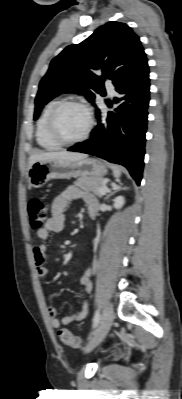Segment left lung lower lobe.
<instances>
[{"mask_svg":"<svg viewBox=\"0 0 182 399\" xmlns=\"http://www.w3.org/2000/svg\"><path fill=\"white\" fill-rule=\"evenodd\" d=\"M149 68L147 61L123 83L116 86L117 108L107 117L96 113L98 126L91 138L75 144L69 151L82 152L125 166L137 185L144 167L145 133L149 105Z\"/></svg>","mask_w":182,"mask_h":399,"instance_id":"obj_1","label":"left lung lower lobe"}]
</instances>
